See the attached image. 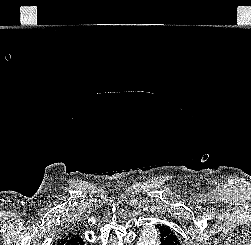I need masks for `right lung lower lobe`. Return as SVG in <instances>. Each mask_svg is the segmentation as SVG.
I'll return each mask as SVG.
<instances>
[{
    "label": "right lung lower lobe",
    "instance_id": "1",
    "mask_svg": "<svg viewBox=\"0 0 251 245\" xmlns=\"http://www.w3.org/2000/svg\"><path fill=\"white\" fill-rule=\"evenodd\" d=\"M54 245H84V243L78 235L67 233L62 235Z\"/></svg>",
    "mask_w": 251,
    "mask_h": 245
}]
</instances>
